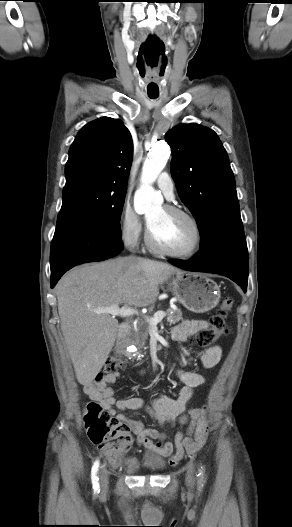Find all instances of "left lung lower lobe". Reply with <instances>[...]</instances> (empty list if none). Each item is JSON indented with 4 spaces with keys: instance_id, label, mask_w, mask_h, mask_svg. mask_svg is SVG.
I'll use <instances>...</instances> for the list:
<instances>
[{
    "instance_id": "left-lung-lower-lobe-1",
    "label": "left lung lower lobe",
    "mask_w": 292,
    "mask_h": 527,
    "mask_svg": "<svg viewBox=\"0 0 292 527\" xmlns=\"http://www.w3.org/2000/svg\"><path fill=\"white\" fill-rule=\"evenodd\" d=\"M182 269L224 275L246 292L248 281V250L246 240H228L202 249L191 260H170Z\"/></svg>"
}]
</instances>
